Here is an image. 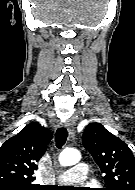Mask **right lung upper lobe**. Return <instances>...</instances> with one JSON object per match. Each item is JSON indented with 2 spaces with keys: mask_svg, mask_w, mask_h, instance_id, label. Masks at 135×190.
Instances as JSON below:
<instances>
[{
  "mask_svg": "<svg viewBox=\"0 0 135 190\" xmlns=\"http://www.w3.org/2000/svg\"><path fill=\"white\" fill-rule=\"evenodd\" d=\"M52 134L38 123L26 125L0 147V186L36 187L35 162L44 155Z\"/></svg>",
  "mask_w": 135,
  "mask_h": 190,
  "instance_id": "cb5924a9",
  "label": "right lung upper lobe"
}]
</instances>
